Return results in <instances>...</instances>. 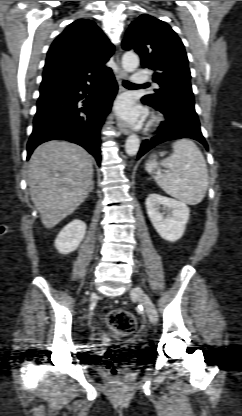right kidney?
<instances>
[{
    "label": "right kidney",
    "mask_w": 242,
    "mask_h": 416,
    "mask_svg": "<svg viewBox=\"0 0 242 416\" xmlns=\"http://www.w3.org/2000/svg\"><path fill=\"white\" fill-rule=\"evenodd\" d=\"M85 232L86 224L83 221L79 219L71 221L58 234L55 240L56 249L62 254L75 251L84 239Z\"/></svg>",
    "instance_id": "1"
}]
</instances>
